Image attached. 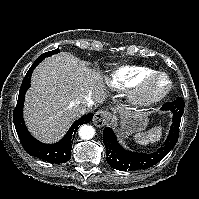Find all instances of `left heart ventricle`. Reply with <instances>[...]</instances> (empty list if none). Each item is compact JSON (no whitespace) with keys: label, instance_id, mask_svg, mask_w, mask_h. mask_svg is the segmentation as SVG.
Segmentation results:
<instances>
[{"label":"left heart ventricle","instance_id":"obj_1","mask_svg":"<svg viewBox=\"0 0 199 199\" xmlns=\"http://www.w3.org/2000/svg\"><path fill=\"white\" fill-rule=\"evenodd\" d=\"M166 86H167V82L163 79H159L153 84V88L157 91H161L165 89Z\"/></svg>","mask_w":199,"mask_h":199}]
</instances>
